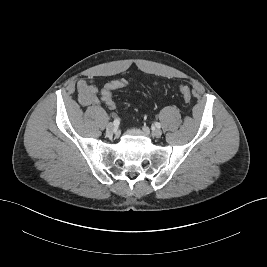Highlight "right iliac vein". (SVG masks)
I'll list each match as a JSON object with an SVG mask.
<instances>
[{"mask_svg":"<svg viewBox=\"0 0 267 267\" xmlns=\"http://www.w3.org/2000/svg\"><path fill=\"white\" fill-rule=\"evenodd\" d=\"M116 126L113 123H109L106 127L107 134L111 135L115 132Z\"/></svg>","mask_w":267,"mask_h":267,"instance_id":"obj_1","label":"right iliac vein"}]
</instances>
